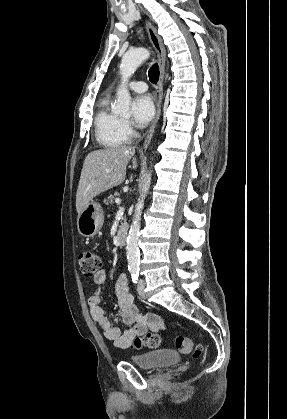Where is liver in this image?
<instances>
[{"label": "liver", "instance_id": "1", "mask_svg": "<svg viewBox=\"0 0 287 419\" xmlns=\"http://www.w3.org/2000/svg\"><path fill=\"white\" fill-rule=\"evenodd\" d=\"M132 158L136 169L135 149L126 146L94 150L86 156L76 193L78 215L93 198L124 181Z\"/></svg>", "mask_w": 287, "mask_h": 419}]
</instances>
